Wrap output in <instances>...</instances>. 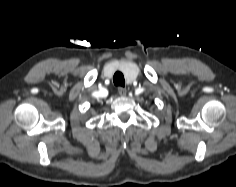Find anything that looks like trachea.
Instances as JSON below:
<instances>
[{
	"mask_svg": "<svg viewBox=\"0 0 236 187\" xmlns=\"http://www.w3.org/2000/svg\"><path fill=\"white\" fill-rule=\"evenodd\" d=\"M113 82L116 86H125V79L121 72H116L113 76Z\"/></svg>",
	"mask_w": 236,
	"mask_h": 187,
	"instance_id": "trachea-1",
	"label": "trachea"
}]
</instances>
